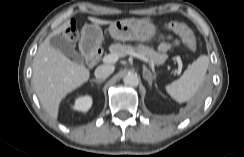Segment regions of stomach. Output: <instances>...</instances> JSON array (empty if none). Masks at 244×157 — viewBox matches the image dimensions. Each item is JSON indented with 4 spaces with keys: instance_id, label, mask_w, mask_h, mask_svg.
Returning <instances> with one entry per match:
<instances>
[{
    "instance_id": "0dacf381",
    "label": "stomach",
    "mask_w": 244,
    "mask_h": 157,
    "mask_svg": "<svg viewBox=\"0 0 244 157\" xmlns=\"http://www.w3.org/2000/svg\"><path fill=\"white\" fill-rule=\"evenodd\" d=\"M111 36L120 41L147 42L157 34V27L149 19L129 18L116 20L110 24ZM103 39L98 25H85L82 30L81 44L84 46H99Z\"/></svg>"
}]
</instances>
